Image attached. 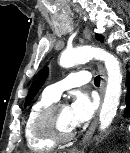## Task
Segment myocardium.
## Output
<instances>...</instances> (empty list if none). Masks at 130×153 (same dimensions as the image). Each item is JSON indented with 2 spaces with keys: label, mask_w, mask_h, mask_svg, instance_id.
Listing matches in <instances>:
<instances>
[{
  "label": "myocardium",
  "mask_w": 130,
  "mask_h": 153,
  "mask_svg": "<svg viewBox=\"0 0 130 153\" xmlns=\"http://www.w3.org/2000/svg\"><path fill=\"white\" fill-rule=\"evenodd\" d=\"M65 104L55 102L44 108L37 116L35 121L36 130L55 142H67L75 136V129L63 131L57 121L59 109Z\"/></svg>",
  "instance_id": "myocardium-1"
}]
</instances>
